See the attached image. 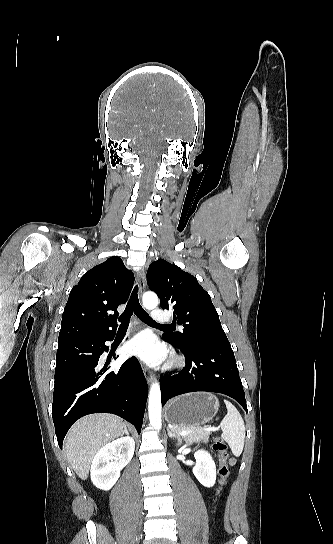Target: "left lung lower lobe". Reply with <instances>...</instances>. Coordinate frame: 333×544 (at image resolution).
Returning a JSON list of instances; mask_svg holds the SVG:
<instances>
[{"instance_id": "left-lung-lower-lobe-1", "label": "left lung lower lobe", "mask_w": 333, "mask_h": 544, "mask_svg": "<svg viewBox=\"0 0 333 544\" xmlns=\"http://www.w3.org/2000/svg\"><path fill=\"white\" fill-rule=\"evenodd\" d=\"M179 350L185 356L186 365L180 373L160 378L162 406L174 396L207 391L232 397L247 412L245 394L231 346L204 343L188 350Z\"/></svg>"}]
</instances>
